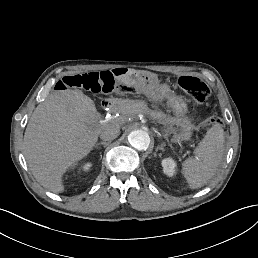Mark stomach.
I'll return each instance as SVG.
<instances>
[{
	"instance_id": "stomach-1",
	"label": "stomach",
	"mask_w": 258,
	"mask_h": 258,
	"mask_svg": "<svg viewBox=\"0 0 258 258\" xmlns=\"http://www.w3.org/2000/svg\"><path fill=\"white\" fill-rule=\"evenodd\" d=\"M136 76L141 78V79H144V80L149 79L148 75H145V74H142V73H138ZM162 90L168 91L167 88H165V87H163ZM170 104H171V106L175 109V111L178 114H182L183 113V111L185 109V106L182 103H180L179 100L171 98L170 99ZM187 125H188L187 122L183 119L181 126L187 130ZM188 134H189V132L186 131L184 134H181V135L177 136V138L175 140H177V139H179L181 137H187Z\"/></svg>"
}]
</instances>
